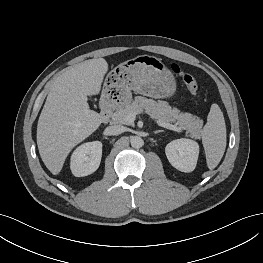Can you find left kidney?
I'll return each mask as SVG.
<instances>
[{
  "label": "left kidney",
  "mask_w": 263,
  "mask_h": 263,
  "mask_svg": "<svg viewBox=\"0 0 263 263\" xmlns=\"http://www.w3.org/2000/svg\"><path fill=\"white\" fill-rule=\"evenodd\" d=\"M165 153L174 168L181 172H191L197 164L199 145L191 139H176L167 144Z\"/></svg>",
  "instance_id": "obj_1"
}]
</instances>
